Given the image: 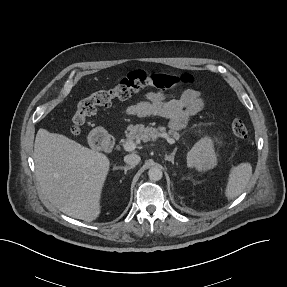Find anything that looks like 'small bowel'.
I'll list each match as a JSON object with an SVG mask.
<instances>
[{
	"label": "small bowel",
	"instance_id": "obj_1",
	"mask_svg": "<svg viewBox=\"0 0 287 287\" xmlns=\"http://www.w3.org/2000/svg\"><path fill=\"white\" fill-rule=\"evenodd\" d=\"M203 107V97L197 90L187 89L179 97L157 91L144 94L140 100L129 105L125 113L138 117H163L168 120L171 129L180 130Z\"/></svg>",
	"mask_w": 287,
	"mask_h": 287
}]
</instances>
